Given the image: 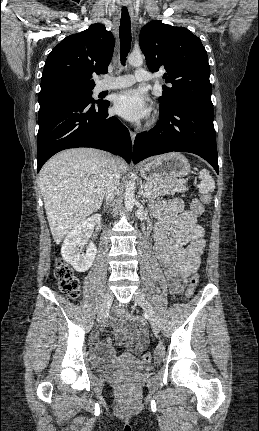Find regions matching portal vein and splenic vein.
<instances>
[{
  "instance_id": "18ae733b",
  "label": "portal vein and splenic vein",
  "mask_w": 259,
  "mask_h": 431,
  "mask_svg": "<svg viewBox=\"0 0 259 431\" xmlns=\"http://www.w3.org/2000/svg\"><path fill=\"white\" fill-rule=\"evenodd\" d=\"M179 182H181V183H185V180H179ZM149 194H150V193H149V191L145 189L144 197H148V196H149Z\"/></svg>"
}]
</instances>
